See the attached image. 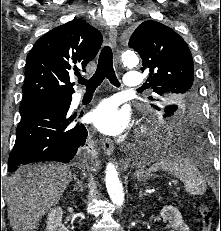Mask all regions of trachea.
Masks as SVG:
<instances>
[{
  "mask_svg": "<svg viewBox=\"0 0 221 231\" xmlns=\"http://www.w3.org/2000/svg\"><path fill=\"white\" fill-rule=\"evenodd\" d=\"M105 78L113 85L120 86L113 68V54L109 46H105L102 49L95 74L89 80L79 78L78 82L85 85L87 91H94Z\"/></svg>",
  "mask_w": 221,
  "mask_h": 231,
  "instance_id": "trachea-1",
  "label": "trachea"
}]
</instances>
